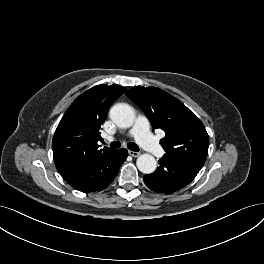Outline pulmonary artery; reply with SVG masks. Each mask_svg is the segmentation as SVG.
<instances>
[{
    "label": "pulmonary artery",
    "instance_id": "obj_1",
    "mask_svg": "<svg viewBox=\"0 0 264 264\" xmlns=\"http://www.w3.org/2000/svg\"><path fill=\"white\" fill-rule=\"evenodd\" d=\"M129 135L133 136L138 144L152 155L161 157L164 154V149L149 132V122L146 117H137L134 126L129 131ZM108 140H113V138L109 137Z\"/></svg>",
    "mask_w": 264,
    "mask_h": 264
}]
</instances>
